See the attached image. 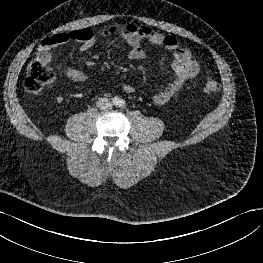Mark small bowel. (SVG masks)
I'll use <instances>...</instances> for the list:
<instances>
[{
    "instance_id": "c3829d8e",
    "label": "small bowel",
    "mask_w": 263,
    "mask_h": 263,
    "mask_svg": "<svg viewBox=\"0 0 263 263\" xmlns=\"http://www.w3.org/2000/svg\"><path fill=\"white\" fill-rule=\"evenodd\" d=\"M114 35L126 41L130 47L129 57L132 60H141L145 57L142 42L162 46L165 50L173 54L172 69L174 71V78L165 89L153 96L152 99L156 105L167 103L186 82L199 73V63L188 48L180 45L176 37L163 35L149 27L131 23L109 25L96 33L91 29L83 28L53 34L41 42L37 52L38 59L46 64L54 63L51 52L57 46L69 42H77L80 44L81 51H86L90 49L99 38ZM55 65L67 78L76 83H82L86 80L85 73L79 69L63 67L59 63H55ZM121 87L127 93H133L135 91L134 87L127 83H123Z\"/></svg>"
}]
</instances>
